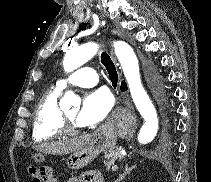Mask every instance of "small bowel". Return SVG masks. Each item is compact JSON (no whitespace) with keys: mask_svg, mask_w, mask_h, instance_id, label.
I'll return each mask as SVG.
<instances>
[{"mask_svg":"<svg viewBox=\"0 0 211 182\" xmlns=\"http://www.w3.org/2000/svg\"><path fill=\"white\" fill-rule=\"evenodd\" d=\"M32 182H39L32 176ZM68 182H103V178L98 171H87L79 176L72 177Z\"/></svg>","mask_w":211,"mask_h":182,"instance_id":"obj_1","label":"small bowel"}]
</instances>
